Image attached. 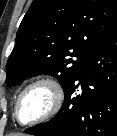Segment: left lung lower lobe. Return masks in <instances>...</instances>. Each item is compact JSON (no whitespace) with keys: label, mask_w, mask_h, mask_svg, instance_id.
Returning <instances> with one entry per match:
<instances>
[{"label":"left lung lower lobe","mask_w":117,"mask_h":136,"mask_svg":"<svg viewBox=\"0 0 117 136\" xmlns=\"http://www.w3.org/2000/svg\"><path fill=\"white\" fill-rule=\"evenodd\" d=\"M64 93L55 117L24 132L36 136H117V23L92 48Z\"/></svg>","instance_id":"0a47b994"}]
</instances>
